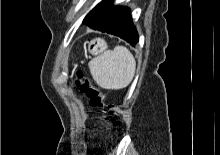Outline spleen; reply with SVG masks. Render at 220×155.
I'll use <instances>...</instances> for the list:
<instances>
[{"label": "spleen", "mask_w": 220, "mask_h": 155, "mask_svg": "<svg viewBox=\"0 0 220 155\" xmlns=\"http://www.w3.org/2000/svg\"><path fill=\"white\" fill-rule=\"evenodd\" d=\"M93 80L103 89L120 90L132 81L136 61L132 53L124 46L107 50L89 62Z\"/></svg>", "instance_id": "3e777b00"}]
</instances>
